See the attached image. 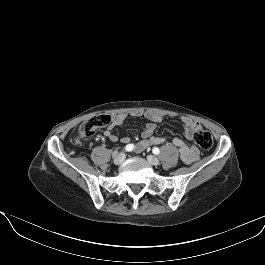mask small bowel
<instances>
[{
    "label": "small bowel",
    "mask_w": 265,
    "mask_h": 265,
    "mask_svg": "<svg viewBox=\"0 0 265 265\" xmlns=\"http://www.w3.org/2000/svg\"><path fill=\"white\" fill-rule=\"evenodd\" d=\"M130 116L135 118L144 117L149 120V122L143 126L142 140L135 145L136 152H142L152 145H158L165 141L163 137L154 135L157 124L162 122L161 115L151 111L134 110L130 113ZM126 118L127 115L124 113L112 115L111 122L105 130V136L111 141H117L118 136L113 133V129L122 127ZM182 123L184 125V136L190 143L187 144L182 139L175 137L172 139V144L178 148L181 160L186 164H190L199 157V149L193 140L195 132L199 130L201 126L188 117H183ZM121 140L123 143H128L130 141L129 137H123Z\"/></svg>",
    "instance_id": "small-bowel-1"
}]
</instances>
